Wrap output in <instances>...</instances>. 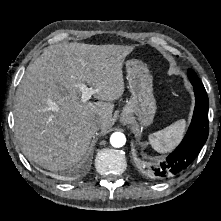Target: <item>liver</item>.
Here are the masks:
<instances>
[{
	"instance_id": "1",
	"label": "liver",
	"mask_w": 221,
	"mask_h": 221,
	"mask_svg": "<svg viewBox=\"0 0 221 221\" xmlns=\"http://www.w3.org/2000/svg\"><path fill=\"white\" fill-rule=\"evenodd\" d=\"M134 46L67 43L50 46L31 62L14 102L15 133L22 152L45 169L70 168L86 154L94 135L89 122L112 123L124 92L123 63ZM98 89L100 101L82 102L79 85Z\"/></svg>"
}]
</instances>
